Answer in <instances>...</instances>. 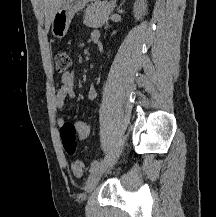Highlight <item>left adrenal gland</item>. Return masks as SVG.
<instances>
[{"instance_id":"a2214340","label":"left adrenal gland","mask_w":216,"mask_h":217,"mask_svg":"<svg viewBox=\"0 0 216 217\" xmlns=\"http://www.w3.org/2000/svg\"><path fill=\"white\" fill-rule=\"evenodd\" d=\"M124 1H125V0H123V2L119 5V7H118L117 9H119V8L122 6V4L124 3Z\"/></svg>"}]
</instances>
